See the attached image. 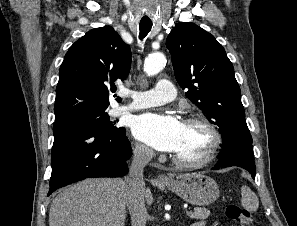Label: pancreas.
<instances>
[{
  "mask_svg": "<svg viewBox=\"0 0 297 226\" xmlns=\"http://www.w3.org/2000/svg\"><path fill=\"white\" fill-rule=\"evenodd\" d=\"M210 215V211L205 208H194L190 217L192 219H206Z\"/></svg>",
  "mask_w": 297,
  "mask_h": 226,
  "instance_id": "1",
  "label": "pancreas"
}]
</instances>
